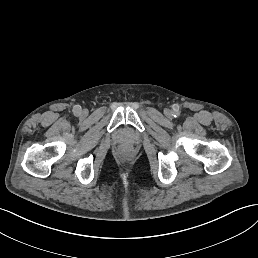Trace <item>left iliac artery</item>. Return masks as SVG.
<instances>
[{
	"mask_svg": "<svg viewBox=\"0 0 258 258\" xmlns=\"http://www.w3.org/2000/svg\"><path fill=\"white\" fill-rule=\"evenodd\" d=\"M173 117L177 118L180 116V111L177 109L175 112L172 114Z\"/></svg>",
	"mask_w": 258,
	"mask_h": 258,
	"instance_id": "44dca946",
	"label": "left iliac artery"
}]
</instances>
